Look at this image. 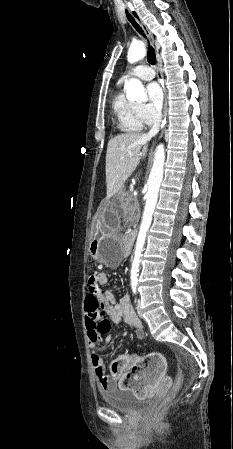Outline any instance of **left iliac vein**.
Listing matches in <instances>:
<instances>
[{
	"label": "left iliac vein",
	"instance_id": "obj_1",
	"mask_svg": "<svg viewBox=\"0 0 233 449\" xmlns=\"http://www.w3.org/2000/svg\"><path fill=\"white\" fill-rule=\"evenodd\" d=\"M140 304H141L140 299H138V302H137V310H138L139 313H140Z\"/></svg>",
	"mask_w": 233,
	"mask_h": 449
}]
</instances>
